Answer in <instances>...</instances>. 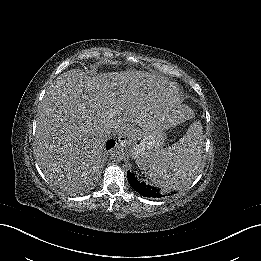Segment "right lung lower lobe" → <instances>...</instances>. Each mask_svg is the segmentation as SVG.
<instances>
[{
  "mask_svg": "<svg viewBox=\"0 0 261 261\" xmlns=\"http://www.w3.org/2000/svg\"><path fill=\"white\" fill-rule=\"evenodd\" d=\"M115 145V141H113V140H110V141H108V143H107V149H110L111 147H113Z\"/></svg>",
  "mask_w": 261,
  "mask_h": 261,
  "instance_id": "obj_1",
  "label": "right lung lower lobe"
}]
</instances>
